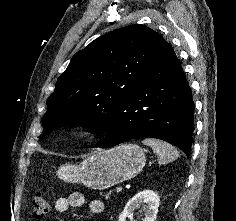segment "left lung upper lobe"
Segmentation results:
<instances>
[{"label": "left lung upper lobe", "mask_w": 236, "mask_h": 221, "mask_svg": "<svg viewBox=\"0 0 236 221\" xmlns=\"http://www.w3.org/2000/svg\"><path fill=\"white\" fill-rule=\"evenodd\" d=\"M166 41L140 24L109 32L78 51L57 79L42 136L62 126L105 131Z\"/></svg>", "instance_id": "obj_1"}]
</instances>
